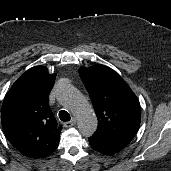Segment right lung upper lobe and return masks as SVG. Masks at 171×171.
I'll use <instances>...</instances> for the list:
<instances>
[{
    "label": "right lung upper lobe",
    "instance_id": "right-lung-upper-lobe-1",
    "mask_svg": "<svg viewBox=\"0 0 171 171\" xmlns=\"http://www.w3.org/2000/svg\"><path fill=\"white\" fill-rule=\"evenodd\" d=\"M56 75L44 66L27 70L7 92L1 123L9 142L25 156L47 157L59 145L62 127L49 109L47 93Z\"/></svg>",
    "mask_w": 171,
    "mask_h": 171
}]
</instances>
